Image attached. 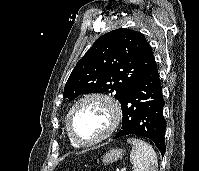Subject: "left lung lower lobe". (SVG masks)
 I'll return each mask as SVG.
<instances>
[{
  "instance_id": "0a47b994",
  "label": "left lung lower lobe",
  "mask_w": 199,
  "mask_h": 171,
  "mask_svg": "<svg viewBox=\"0 0 199 171\" xmlns=\"http://www.w3.org/2000/svg\"><path fill=\"white\" fill-rule=\"evenodd\" d=\"M122 127L114 138L140 135L151 139L165 154V105L155 60L130 87L122 99Z\"/></svg>"
}]
</instances>
